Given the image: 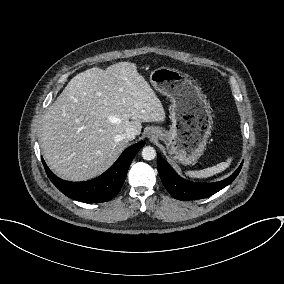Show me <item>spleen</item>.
<instances>
[{
    "instance_id": "1",
    "label": "spleen",
    "mask_w": 284,
    "mask_h": 284,
    "mask_svg": "<svg viewBox=\"0 0 284 284\" xmlns=\"http://www.w3.org/2000/svg\"><path fill=\"white\" fill-rule=\"evenodd\" d=\"M232 158H228L226 162H221L215 166L205 168L203 170L198 171H187L186 175L193 178H207L213 176L219 172L224 171L227 167H229Z\"/></svg>"
}]
</instances>
